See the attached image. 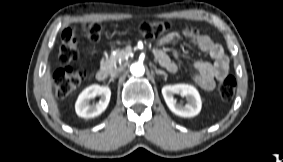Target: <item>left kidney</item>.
Masks as SVG:
<instances>
[{
    "mask_svg": "<svg viewBox=\"0 0 283 162\" xmlns=\"http://www.w3.org/2000/svg\"><path fill=\"white\" fill-rule=\"evenodd\" d=\"M174 94L186 97L185 105L177 103ZM163 98L168 108L176 115L181 117H194L201 111V98L195 87L189 84L165 85L162 88Z\"/></svg>",
    "mask_w": 283,
    "mask_h": 162,
    "instance_id": "5707ae66",
    "label": "left kidney"
}]
</instances>
